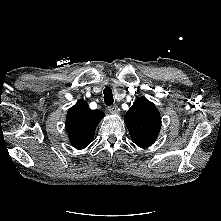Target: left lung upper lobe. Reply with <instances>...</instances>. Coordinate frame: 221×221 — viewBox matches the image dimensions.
<instances>
[{
    "mask_svg": "<svg viewBox=\"0 0 221 221\" xmlns=\"http://www.w3.org/2000/svg\"><path fill=\"white\" fill-rule=\"evenodd\" d=\"M124 122L132 141L141 148L152 145L161 128L156 106L146 98H138L127 111Z\"/></svg>",
    "mask_w": 221,
    "mask_h": 221,
    "instance_id": "obj_1",
    "label": "left lung upper lobe"
}]
</instances>
